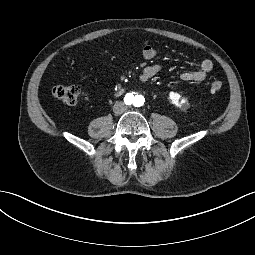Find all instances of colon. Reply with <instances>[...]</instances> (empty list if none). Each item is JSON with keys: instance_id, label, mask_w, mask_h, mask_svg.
<instances>
[{"instance_id": "1", "label": "colon", "mask_w": 255, "mask_h": 255, "mask_svg": "<svg viewBox=\"0 0 255 255\" xmlns=\"http://www.w3.org/2000/svg\"><path fill=\"white\" fill-rule=\"evenodd\" d=\"M222 87L221 80H213L210 83V89L214 93L220 91ZM52 94L67 105H75L80 101L82 90L76 85H57L53 88Z\"/></svg>"}]
</instances>
